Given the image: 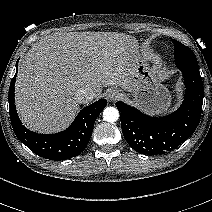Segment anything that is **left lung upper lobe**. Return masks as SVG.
<instances>
[{
  "label": "left lung upper lobe",
  "instance_id": "obj_1",
  "mask_svg": "<svg viewBox=\"0 0 212 212\" xmlns=\"http://www.w3.org/2000/svg\"><path fill=\"white\" fill-rule=\"evenodd\" d=\"M174 44V58L175 60L180 59H190V60H196V57L194 53L191 51V49L182 43L172 40Z\"/></svg>",
  "mask_w": 212,
  "mask_h": 212
}]
</instances>
